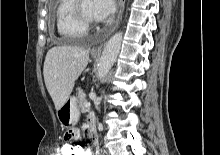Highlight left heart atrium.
I'll return each mask as SVG.
<instances>
[{
  "label": "left heart atrium",
  "instance_id": "left-heart-atrium-1",
  "mask_svg": "<svg viewBox=\"0 0 220 155\" xmlns=\"http://www.w3.org/2000/svg\"><path fill=\"white\" fill-rule=\"evenodd\" d=\"M115 0H93L92 12L97 20L108 18L115 11Z\"/></svg>",
  "mask_w": 220,
  "mask_h": 155
}]
</instances>
